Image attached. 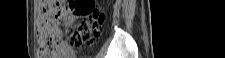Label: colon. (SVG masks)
Listing matches in <instances>:
<instances>
[{"label": "colon", "mask_w": 225, "mask_h": 58, "mask_svg": "<svg viewBox=\"0 0 225 58\" xmlns=\"http://www.w3.org/2000/svg\"><path fill=\"white\" fill-rule=\"evenodd\" d=\"M36 4L38 58H65L64 40L81 47L90 44L100 33L104 13L93 0H38ZM78 16L83 20L77 30L68 25L64 32L61 28L64 22Z\"/></svg>", "instance_id": "obj_1"}]
</instances>
